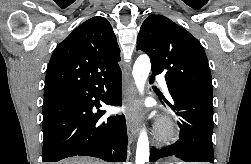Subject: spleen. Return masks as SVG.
<instances>
[{
  "instance_id": "1",
  "label": "spleen",
  "mask_w": 251,
  "mask_h": 164,
  "mask_svg": "<svg viewBox=\"0 0 251 164\" xmlns=\"http://www.w3.org/2000/svg\"><path fill=\"white\" fill-rule=\"evenodd\" d=\"M179 164H183V163L181 162V163H179ZM184 164H187V163H184Z\"/></svg>"
}]
</instances>
